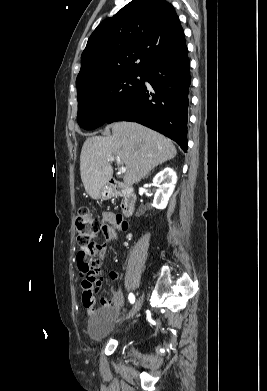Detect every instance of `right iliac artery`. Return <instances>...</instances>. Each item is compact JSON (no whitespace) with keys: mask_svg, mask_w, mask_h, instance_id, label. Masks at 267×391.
Segmentation results:
<instances>
[{"mask_svg":"<svg viewBox=\"0 0 267 391\" xmlns=\"http://www.w3.org/2000/svg\"><path fill=\"white\" fill-rule=\"evenodd\" d=\"M129 301L133 304L135 301V297L132 293L129 294Z\"/></svg>","mask_w":267,"mask_h":391,"instance_id":"1","label":"right iliac artery"}]
</instances>
